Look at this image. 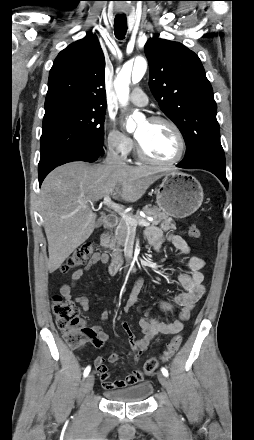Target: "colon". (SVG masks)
Masks as SVG:
<instances>
[{"mask_svg": "<svg viewBox=\"0 0 254 440\" xmlns=\"http://www.w3.org/2000/svg\"><path fill=\"white\" fill-rule=\"evenodd\" d=\"M189 234L196 239L201 237V230L198 226L192 225ZM95 253L92 244L86 243L79 246L60 267L62 272L84 264L90 256ZM52 310L55 316L57 327L62 331L64 340L69 347L76 349L83 346L90 337L94 336L91 328L87 327L79 316L77 305L61 295H55L52 300ZM182 343L180 335L174 336L169 342L165 351L158 357L148 359L144 364V372L153 374L161 362L170 359L178 351Z\"/></svg>", "mask_w": 254, "mask_h": 440, "instance_id": "5ec220e1", "label": "colon"}]
</instances>
